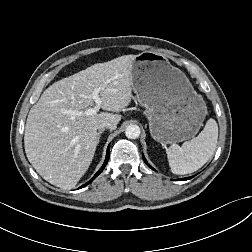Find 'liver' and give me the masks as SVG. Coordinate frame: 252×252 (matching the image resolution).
I'll return each mask as SVG.
<instances>
[{
	"mask_svg": "<svg viewBox=\"0 0 252 252\" xmlns=\"http://www.w3.org/2000/svg\"><path fill=\"white\" fill-rule=\"evenodd\" d=\"M124 55L97 63L49 86L29 111L24 134L25 153L37 173L50 184L72 189L88 170L99 143L98 125L117 126L121 115H86L91 97L101 88V108L119 113L132 99L131 64ZM70 111L81 112L73 116ZM115 129V128H114Z\"/></svg>",
	"mask_w": 252,
	"mask_h": 252,
	"instance_id": "liver-1",
	"label": "liver"
}]
</instances>
